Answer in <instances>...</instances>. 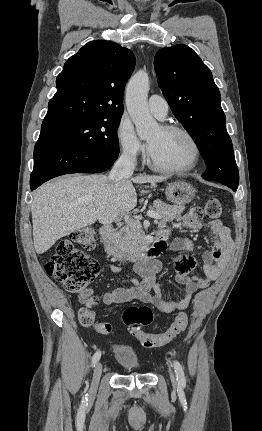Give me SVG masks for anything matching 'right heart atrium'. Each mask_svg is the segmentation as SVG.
Returning a JSON list of instances; mask_svg holds the SVG:
<instances>
[{
  "mask_svg": "<svg viewBox=\"0 0 262 431\" xmlns=\"http://www.w3.org/2000/svg\"><path fill=\"white\" fill-rule=\"evenodd\" d=\"M117 141L121 154L129 159L136 160L144 153V145L137 137L134 127L128 119H121L116 131Z\"/></svg>",
  "mask_w": 262,
  "mask_h": 431,
  "instance_id": "d8ad5b80",
  "label": "right heart atrium"
}]
</instances>
